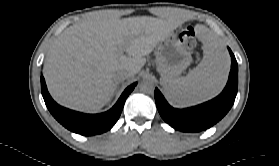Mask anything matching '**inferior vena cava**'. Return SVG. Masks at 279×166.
<instances>
[{
	"mask_svg": "<svg viewBox=\"0 0 279 166\" xmlns=\"http://www.w3.org/2000/svg\"><path fill=\"white\" fill-rule=\"evenodd\" d=\"M134 73V70L128 67H124L119 69L116 73H115V78L117 81L121 82L126 80L127 78L131 77Z\"/></svg>",
	"mask_w": 279,
	"mask_h": 166,
	"instance_id": "602c4592",
	"label": "inferior vena cava"
}]
</instances>
